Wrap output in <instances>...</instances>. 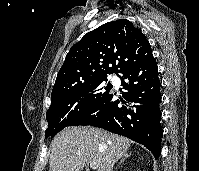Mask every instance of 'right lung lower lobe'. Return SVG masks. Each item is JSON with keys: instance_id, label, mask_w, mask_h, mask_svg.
Masks as SVG:
<instances>
[{"instance_id": "98d812e1", "label": "right lung lower lobe", "mask_w": 199, "mask_h": 171, "mask_svg": "<svg viewBox=\"0 0 199 171\" xmlns=\"http://www.w3.org/2000/svg\"><path fill=\"white\" fill-rule=\"evenodd\" d=\"M119 76L123 99L108 93L68 126L90 125L128 137L148 148L156 158L161 153V101L158 68L153 57L138 62ZM120 102L124 103L121 105Z\"/></svg>"}]
</instances>
